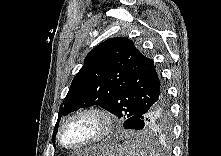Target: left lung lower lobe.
I'll list each match as a JSON object with an SVG mask.
<instances>
[{
    "mask_svg": "<svg viewBox=\"0 0 221 156\" xmlns=\"http://www.w3.org/2000/svg\"><path fill=\"white\" fill-rule=\"evenodd\" d=\"M170 100L163 84L161 94L154 104L146 110L128 118L123 126L126 129L169 133L171 131Z\"/></svg>",
    "mask_w": 221,
    "mask_h": 156,
    "instance_id": "0a47b994",
    "label": "left lung lower lobe"
}]
</instances>
